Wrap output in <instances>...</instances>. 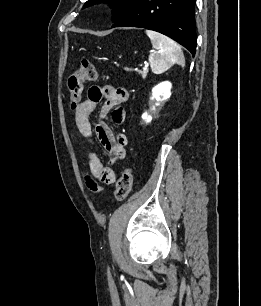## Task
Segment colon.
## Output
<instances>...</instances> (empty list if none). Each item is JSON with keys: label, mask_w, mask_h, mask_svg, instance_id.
<instances>
[{"label": "colon", "mask_w": 261, "mask_h": 306, "mask_svg": "<svg viewBox=\"0 0 261 306\" xmlns=\"http://www.w3.org/2000/svg\"><path fill=\"white\" fill-rule=\"evenodd\" d=\"M97 77L96 67L88 59H83L79 67L69 75L67 88L72 108H76L80 103L85 84L97 80ZM132 182V172L127 167L123 170L115 185L114 195L117 200H124L129 195L132 189Z\"/></svg>", "instance_id": "colon-1"}]
</instances>
